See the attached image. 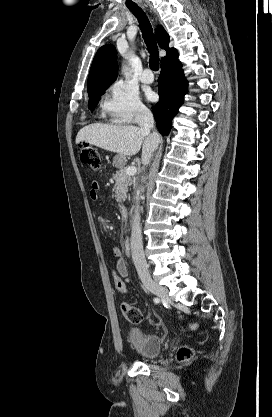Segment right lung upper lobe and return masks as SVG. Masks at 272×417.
Returning <instances> with one entry per match:
<instances>
[{
  "mask_svg": "<svg viewBox=\"0 0 272 417\" xmlns=\"http://www.w3.org/2000/svg\"><path fill=\"white\" fill-rule=\"evenodd\" d=\"M155 36L160 48L165 49L167 54L175 50L168 47L169 36L162 26H158ZM117 71L118 64L115 47L111 44L102 46L97 51L90 69L87 82L88 93L99 89H107L117 78Z\"/></svg>",
  "mask_w": 272,
  "mask_h": 417,
  "instance_id": "obj_1",
  "label": "right lung upper lobe"
}]
</instances>
